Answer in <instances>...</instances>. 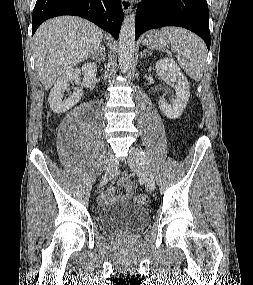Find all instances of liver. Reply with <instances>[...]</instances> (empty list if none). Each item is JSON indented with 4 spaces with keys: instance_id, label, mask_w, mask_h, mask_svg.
I'll use <instances>...</instances> for the list:
<instances>
[{
    "instance_id": "liver-1",
    "label": "liver",
    "mask_w": 253,
    "mask_h": 285,
    "mask_svg": "<svg viewBox=\"0 0 253 285\" xmlns=\"http://www.w3.org/2000/svg\"><path fill=\"white\" fill-rule=\"evenodd\" d=\"M103 31L88 20L61 16L47 20L34 36V56L46 90L67 70L87 59L101 45Z\"/></svg>"
}]
</instances>
